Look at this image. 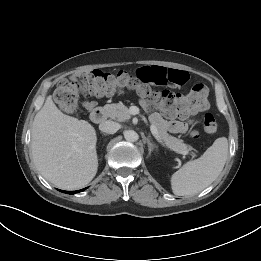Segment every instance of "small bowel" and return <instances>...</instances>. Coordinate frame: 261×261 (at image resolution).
Segmentation results:
<instances>
[{
    "label": "small bowel",
    "instance_id": "1",
    "mask_svg": "<svg viewBox=\"0 0 261 261\" xmlns=\"http://www.w3.org/2000/svg\"><path fill=\"white\" fill-rule=\"evenodd\" d=\"M139 76L146 82L155 85H174L181 86L189 79V74L186 71L166 68L162 66H145L138 70ZM144 107H148L146 100L141 101ZM93 101H86V108L94 107ZM151 121L160 129L172 133H185L192 123L189 115L180 116L178 119H165L159 112L151 113Z\"/></svg>",
    "mask_w": 261,
    "mask_h": 261
}]
</instances>
